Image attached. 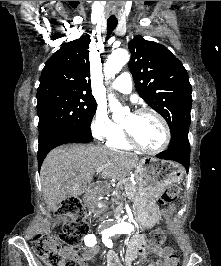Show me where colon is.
<instances>
[{"label":"colon","instance_id":"obj_1","mask_svg":"<svg viewBox=\"0 0 221 266\" xmlns=\"http://www.w3.org/2000/svg\"><path fill=\"white\" fill-rule=\"evenodd\" d=\"M180 194L177 186H169L161 195L159 203L167 205L175 202ZM57 215L68 219L60 234H37L33 238V249L47 266H76L69 260L66 261V253L69 249H63L62 244L76 249L83 237L89 231L87 213L84 205L77 198L67 199L57 211ZM166 240V234L161 229H154L148 236V248L156 250ZM178 256L170 253L166 261L167 266H178Z\"/></svg>","mask_w":221,"mask_h":266}]
</instances>
